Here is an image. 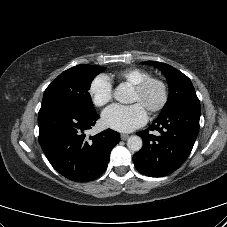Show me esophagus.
I'll return each mask as SVG.
<instances>
[{"instance_id":"esophagus-1","label":"esophagus","mask_w":227,"mask_h":227,"mask_svg":"<svg viewBox=\"0 0 227 227\" xmlns=\"http://www.w3.org/2000/svg\"><path fill=\"white\" fill-rule=\"evenodd\" d=\"M129 138V135L128 134H121V139L122 140H127Z\"/></svg>"}]
</instances>
